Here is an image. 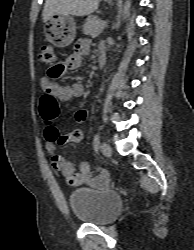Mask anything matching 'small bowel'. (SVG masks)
I'll return each mask as SVG.
<instances>
[{
    "mask_svg": "<svg viewBox=\"0 0 194 250\" xmlns=\"http://www.w3.org/2000/svg\"><path fill=\"white\" fill-rule=\"evenodd\" d=\"M90 50V42L85 39L80 40L76 45L74 52L63 63L56 66L57 77L61 76L68 70L79 68L82 63V57L87 55ZM41 84L46 91L50 92L61 102L69 101L72 98H79L84 93V87L80 83H73L71 85L59 84L51 81L49 76H44L41 80ZM86 117L87 111L82 109L74 114L73 119L76 122H83ZM53 120L44 119V121L49 124L44 130V137L46 140V149L51 156L52 166L64 176L67 183L71 186H80L88 183L91 180V174L90 166L87 161L82 162L79 166V172L75 173L72 162L56 153V142L64 143L71 140V138L60 136L57 128L51 125ZM81 136L83 137L82 133Z\"/></svg>",
    "mask_w": 194,
    "mask_h": 250,
    "instance_id": "c3829d8e",
    "label": "small bowel"
}]
</instances>
